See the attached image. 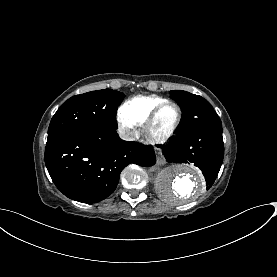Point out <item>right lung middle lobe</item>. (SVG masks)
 Segmentation results:
<instances>
[{
  "instance_id": "1",
  "label": "right lung middle lobe",
  "mask_w": 277,
  "mask_h": 277,
  "mask_svg": "<svg viewBox=\"0 0 277 277\" xmlns=\"http://www.w3.org/2000/svg\"><path fill=\"white\" fill-rule=\"evenodd\" d=\"M123 98V93L112 89L71 97L54 114L47 140L71 131L95 127L117 128L116 111Z\"/></svg>"
}]
</instances>
